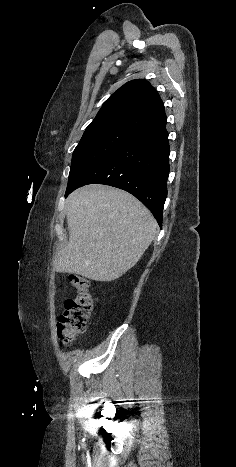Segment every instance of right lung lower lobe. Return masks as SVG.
I'll list each match as a JSON object with an SVG mask.
<instances>
[{
	"instance_id": "right-lung-lower-lobe-1",
	"label": "right lung lower lobe",
	"mask_w": 236,
	"mask_h": 467,
	"mask_svg": "<svg viewBox=\"0 0 236 467\" xmlns=\"http://www.w3.org/2000/svg\"><path fill=\"white\" fill-rule=\"evenodd\" d=\"M169 151L164 121L140 132L95 163L67 187L65 196L86 184L111 185L138 198L161 226L170 171Z\"/></svg>"
}]
</instances>
